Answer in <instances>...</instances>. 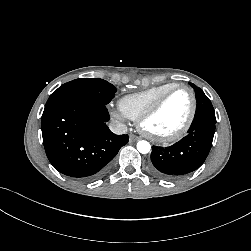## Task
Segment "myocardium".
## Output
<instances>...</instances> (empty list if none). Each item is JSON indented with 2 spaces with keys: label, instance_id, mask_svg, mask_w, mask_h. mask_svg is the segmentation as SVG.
<instances>
[{
  "label": "myocardium",
  "instance_id": "obj_1",
  "mask_svg": "<svg viewBox=\"0 0 251 251\" xmlns=\"http://www.w3.org/2000/svg\"><path fill=\"white\" fill-rule=\"evenodd\" d=\"M179 90H186L190 93L191 95V111L190 114L184 123V125L176 132L170 135L166 136H157L149 132L146 127L145 123L147 120H149L152 116H154L162 107V105L165 103L167 98L173 94L176 91ZM197 113V98L194 90L186 85H175L174 87L170 88L166 92H164L137 120V125L141 133L147 137L148 139L158 142V143H163V144H168V143H173L175 141L180 140L183 138L186 133L189 131L190 127L192 126L195 116Z\"/></svg>",
  "mask_w": 251,
  "mask_h": 251
}]
</instances>
